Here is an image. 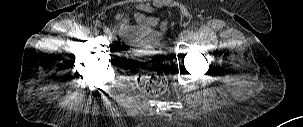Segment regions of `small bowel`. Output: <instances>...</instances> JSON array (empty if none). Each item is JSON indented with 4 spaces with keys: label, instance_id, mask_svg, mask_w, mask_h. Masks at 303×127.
I'll use <instances>...</instances> for the list:
<instances>
[{
    "label": "small bowel",
    "instance_id": "1",
    "mask_svg": "<svg viewBox=\"0 0 303 127\" xmlns=\"http://www.w3.org/2000/svg\"><path fill=\"white\" fill-rule=\"evenodd\" d=\"M133 18L138 23V27L135 29L137 35H150L151 37L157 36V33L154 31V28L159 24V20L157 18L141 13H135ZM117 20L120 22L122 32L127 33L131 30L130 16L128 13H121L117 15ZM163 27L164 25L162 24V28Z\"/></svg>",
    "mask_w": 303,
    "mask_h": 127
}]
</instances>
